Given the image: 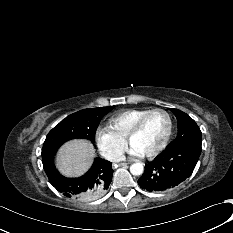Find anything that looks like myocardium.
Listing matches in <instances>:
<instances>
[{
    "label": "myocardium",
    "instance_id": "myocardium-1",
    "mask_svg": "<svg viewBox=\"0 0 233 233\" xmlns=\"http://www.w3.org/2000/svg\"><path fill=\"white\" fill-rule=\"evenodd\" d=\"M156 112H161V113H164L166 115V117L168 119V129H167V133H166L163 141L161 142V144L157 148L152 150L151 152L142 155L143 157H146V158H152V157L156 156L159 152H161L167 146V144L170 140V137L172 134V128H173V120H172L171 114L167 110L162 109V108H155V109H151V110L147 111L144 115H142L137 120V122L134 124V126L129 131V133L126 137V140H125L126 143L131 146V140L141 131L146 119L151 114L156 113Z\"/></svg>",
    "mask_w": 233,
    "mask_h": 233
}]
</instances>
